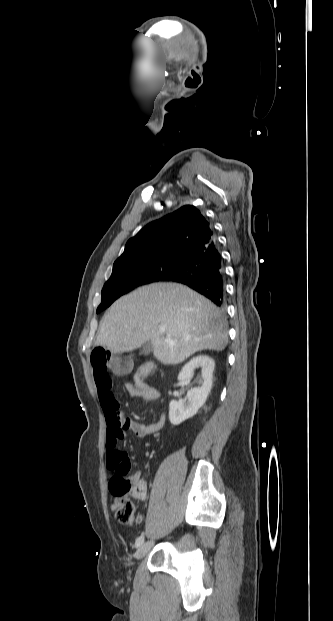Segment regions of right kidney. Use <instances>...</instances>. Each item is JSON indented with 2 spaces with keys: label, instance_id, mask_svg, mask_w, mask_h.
<instances>
[{
  "label": "right kidney",
  "instance_id": "1",
  "mask_svg": "<svg viewBox=\"0 0 333 621\" xmlns=\"http://www.w3.org/2000/svg\"><path fill=\"white\" fill-rule=\"evenodd\" d=\"M215 362L206 355H199L192 358L179 373V381H188L194 370H201L199 386L191 388L187 392L186 400H172L169 404V420L173 425H179L188 418L193 417L204 405L212 387L213 371Z\"/></svg>",
  "mask_w": 333,
  "mask_h": 621
}]
</instances>
